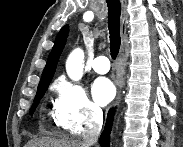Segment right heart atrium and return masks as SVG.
Listing matches in <instances>:
<instances>
[{
    "label": "right heart atrium",
    "instance_id": "d8ad5b80",
    "mask_svg": "<svg viewBox=\"0 0 183 147\" xmlns=\"http://www.w3.org/2000/svg\"><path fill=\"white\" fill-rule=\"evenodd\" d=\"M55 91L54 114L62 129L81 134L100 122L101 110L88 98L80 84L62 79L56 84Z\"/></svg>",
    "mask_w": 183,
    "mask_h": 147
}]
</instances>
